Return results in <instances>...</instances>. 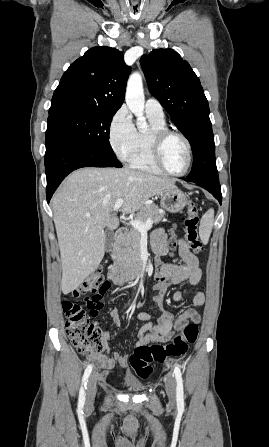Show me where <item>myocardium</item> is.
<instances>
[{
  "instance_id": "1",
  "label": "myocardium",
  "mask_w": 269,
  "mask_h": 447,
  "mask_svg": "<svg viewBox=\"0 0 269 447\" xmlns=\"http://www.w3.org/2000/svg\"><path fill=\"white\" fill-rule=\"evenodd\" d=\"M171 136L179 137L186 145L187 163L185 168L181 171H174L170 169L164 159V144ZM150 145L154 162L166 173L180 176L189 170L192 163V146L190 140L183 133L168 128L155 129L150 135Z\"/></svg>"
}]
</instances>
